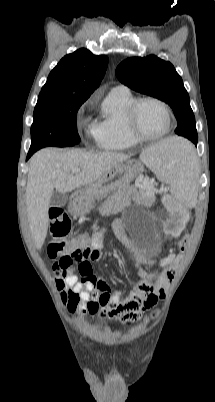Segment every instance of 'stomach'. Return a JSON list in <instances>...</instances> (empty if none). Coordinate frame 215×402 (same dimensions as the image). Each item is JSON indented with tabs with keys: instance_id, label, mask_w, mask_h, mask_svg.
<instances>
[{
	"instance_id": "stomach-1",
	"label": "stomach",
	"mask_w": 215,
	"mask_h": 402,
	"mask_svg": "<svg viewBox=\"0 0 215 402\" xmlns=\"http://www.w3.org/2000/svg\"><path fill=\"white\" fill-rule=\"evenodd\" d=\"M142 162L127 159L112 167L99 180L75 193L74 211L84 215L91 211L97 199L109 195L118 189H124L142 172Z\"/></svg>"
}]
</instances>
